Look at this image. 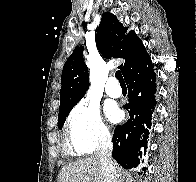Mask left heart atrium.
Wrapping results in <instances>:
<instances>
[{
    "label": "left heart atrium",
    "mask_w": 196,
    "mask_h": 182,
    "mask_svg": "<svg viewBox=\"0 0 196 182\" xmlns=\"http://www.w3.org/2000/svg\"><path fill=\"white\" fill-rule=\"evenodd\" d=\"M106 114L112 122H117L121 118V111L114 105L107 106Z\"/></svg>",
    "instance_id": "1"
}]
</instances>
